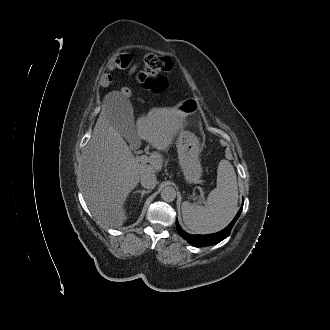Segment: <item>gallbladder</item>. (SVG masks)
Listing matches in <instances>:
<instances>
[{
  "mask_svg": "<svg viewBox=\"0 0 330 330\" xmlns=\"http://www.w3.org/2000/svg\"><path fill=\"white\" fill-rule=\"evenodd\" d=\"M114 116L117 122L113 125L117 129V131L122 134L128 140H132L130 135L133 136L135 132L134 126V115L132 107L128 102H123L118 106V109L114 111Z\"/></svg>",
  "mask_w": 330,
  "mask_h": 330,
  "instance_id": "gallbladder-1",
  "label": "gallbladder"
}]
</instances>
